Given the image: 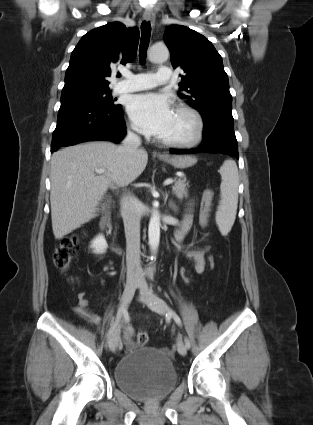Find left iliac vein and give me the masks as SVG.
<instances>
[{"label": "left iliac vein", "mask_w": 313, "mask_h": 425, "mask_svg": "<svg viewBox=\"0 0 313 425\" xmlns=\"http://www.w3.org/2000/svg\"><path fill=\"white\" fill-rule=\"evenodd\" d=\"M138 287L144 294L143 301L146 303V305L153 311L157 312L158 314L165 315L168 312V307L166 303L161 300L160 298L154 296L151 291L149 290L147 284L145 282H141L138 284ZM177 350L179 354L186 355L187 353V347L183 343L181 339H178L177 341Z\"/></svg>", "instance_id": "4c4485c4"}]
</instances>
